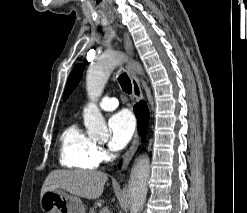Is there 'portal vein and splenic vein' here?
<instances>
[{"mask_svg":"<svg viewBox=\"0 0 247 213\" xmlns=\"http://www.w3.org/2000/svg\"><path fill=\"white\" fill-rule=\"evenodd\" d=\"M100 213H110L108 208H102Z\"/></svg>","mask_w":247,"mask_h":213,"instance_id":"portal-vein-and-splenic-vein-1","label":"portal vein and splenic vein"}]
</instances>
